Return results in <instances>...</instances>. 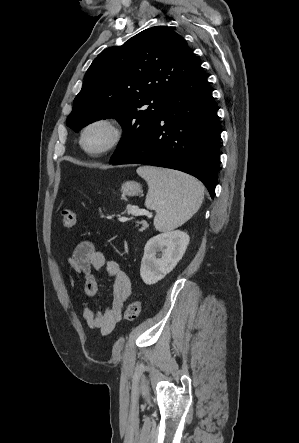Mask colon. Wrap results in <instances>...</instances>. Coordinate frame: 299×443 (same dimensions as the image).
<instances>
[{
  "label": "colon",
  "mask_w": 299,
  "mask_h": 443,
  "mask_svg": "<svg viewBox=\"0 0 299 443\" xmlns=\"http://www.w3.org/2000/svg\"><path fill=\"white\" fill-rule=\"evenodd\" d=\"M61 219L62 224L65 228L71 230L75 227L77 217L76 213L73 211V209L69 207H65L61 211ZM141 310L140 302L137 300H134L130 302L125 310V318L128 321H134L138 318Z\"/></svg>",
  "instance_id": "5ec220e1"
}]
</instances>
